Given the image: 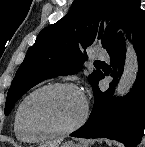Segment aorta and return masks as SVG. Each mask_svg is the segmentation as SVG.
I'll list each match as a JSON object with an SVG mask.
<instances>
[{
	"mask_svg": "<svg viewBox=\"0 0 145 147\" xmlns=\"http://www.w3.org/2000/svg\"><path fill=\"white\" fill-rule=\"evenodd\" d=\"M124 38L126 40V58L124 70L115 89V95L119 97L126 95L130 91L136 80L138 72V58L135 49L125 35Z\"/></svg>",
	"mask_w": 145,
	"mask_h": 147,
	"instance_id": "obj_1",
	"label": "aorta"
}]
</instances>
